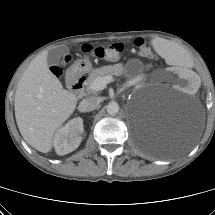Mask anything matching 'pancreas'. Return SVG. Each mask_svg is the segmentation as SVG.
<instances>
[{
    "instance_id": "1",
    "label": "pancreas",
    "mask_w": 215,
    "mask_h": 215,
    "mask_svg": "<svg viewBox=\"0 0 215 215\" xmlns=\"http://www.w3.org/2000/svg\"><path fill=\"white\" fill-rule=\"evenodd\" d=\"M123 73H124V67L120 63L115 65L103 66L101 68L95 69L89 74V77L86 81L87 89L90 91H93L90 88V85L95 79L99 77H104L107 75L121 76Z\"/></svg>"
}]
</instances>
